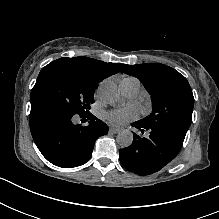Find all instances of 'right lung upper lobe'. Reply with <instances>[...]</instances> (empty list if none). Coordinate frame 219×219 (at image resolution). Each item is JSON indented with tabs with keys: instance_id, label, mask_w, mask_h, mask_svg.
I'll list each match as a JSON object with an SVG mask.
<instances>
[{
	"instance_id": "1",
	"label": "right lung upper lobe",
	"mask_w": 219,
	"mask_h": 219,
	"mask_svg": "<svg viewBox=\"0 0 219 219\" xmlns=\"http://www.w3.org/2000/svg\"><path fill=\"white\" fill-rule=\"evenodd\" d=\"M55 61L65 62L67 64L80 68L98 82H101L103 79L120 72L125 66V64L106 63L88 57H63Z\"/></svg>"
}]
</instances>
